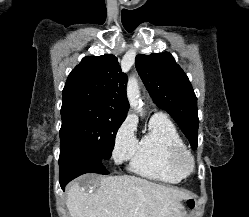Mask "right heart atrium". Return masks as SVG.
Returning <instances> with one entry per match:
<instances>
[{"instance_id": "right-heart-atrium-1", "label": "right heart atrium", "mask_w": 249, "mask_h": 217, "mask_svg": "<svg viewBox=\"0 0 249 217\" xmlns=\"http://www.w3.org/2000/svg\"><path fill=\"white\" fill-rule=\"evenodd\" d=\"M137 146L136 123L127 117L118 127L113 142L112 156L117 164L128 161Z\"/></svg>"}]
</instances>
